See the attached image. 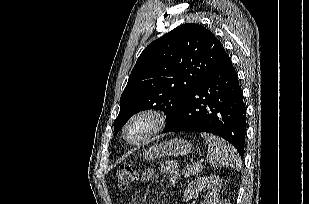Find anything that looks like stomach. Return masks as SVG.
<instances>
[{
	"label": "stomach",
	"instance_id": "1",
	"mask_svg": "<svg viewBox=\"0 0 309 204\" xmlns=\"http://www.w3.org/2000/svg\"><path fill=\"white\" fill-rule=\"evenodd\" d=\"M192 145L184 139H172L155 144L144 152V158L148 160L157 159L164 156H184L191 152Z\"/></svg>",
	"mask_w": 309,
	"mask_h": 204
}]
</instances>
